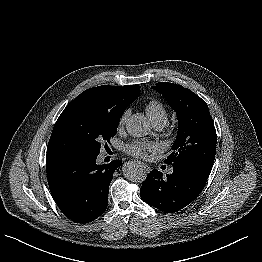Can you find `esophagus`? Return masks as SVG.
I'll return each instance as SVG.
<instances>
[{
  "mask_svg": "<svg viewBox=\"0 0 262 262\" xmlns=\"http://www.w3.org/2000/svg\"><path fill=\"white\" fill-rule=\"evenodd\" d=\"M139 164L141 165V167L146 171V172H149L150 171V167L145 164V163H142V162H139Z\"/></svg>",
  "mask_w": 262,
  "mask_h": 262,
  "instance_id": "obj_1",
  "label": "esophagus"
}]
</instances>
